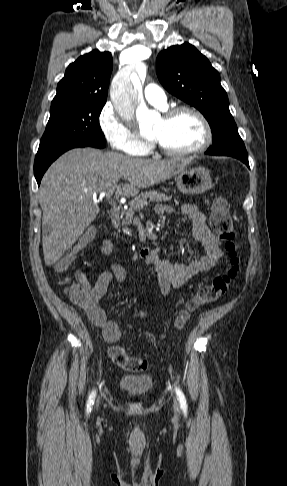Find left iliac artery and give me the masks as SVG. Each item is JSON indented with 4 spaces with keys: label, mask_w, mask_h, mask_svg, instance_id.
Segmentation results:
<instances>
[{
    "label": "left iliac artery",
    "mask_w": 287,
    "mask_h": 486,
    "mask_svg": "<svg viewBox=\"0 0 287 486\" xmlns=\"http://www.w3.org/2000/svg\"><path fill=\"white\" fill-rule=\"evenodd\" d=\"M175 391H176V395H177V398H178L179 403H180V407H181L182 411L186 414L187 413V403H186L185 396L179 388L176 387Z\"/></svg>",
    "instance_id": "left-iliac-artery-1"
}]
</instances>
